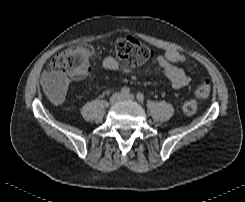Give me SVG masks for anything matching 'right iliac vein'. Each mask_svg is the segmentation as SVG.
Listing matches in <instances>:
<instances>
[{"label": "right iliac vein", "mask_w": 245, "mask_h": 202, "mask_svg": "<svg viewBox=\"0 0 245 202\" xmlns=\"http://www.w3.org/2000/svg\"><path fill=\"white\" fill-rule=\"evenodd\" d=\"M123 98L122 94L121 93H115L111 96L110 98V102L111 104H116L118 103L119 101H121Z\"/></svg>", "instance_id": "1"}]
</instances>
